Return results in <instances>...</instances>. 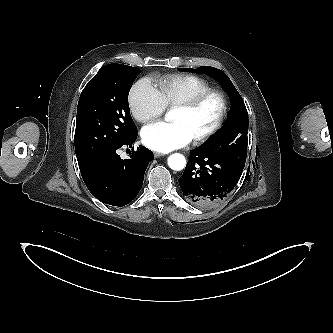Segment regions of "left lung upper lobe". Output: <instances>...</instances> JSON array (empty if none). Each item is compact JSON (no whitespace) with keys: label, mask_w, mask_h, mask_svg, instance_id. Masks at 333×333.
Instances as JSON below:
<instances>
[{"label":"left lung upper lobe","mask_w":333,"mask_h":333,"mask_svg":"<svg viewBox=\"0 0 333 333\" xmlns=\"http://www.w3.org/2000/svg\"><path fill=\"white\" fill-rule=\"evenodd\" d=\"M193 72L205 73L215 78L225 89L231 99V108L228 112V124L221 129L216 137L202 148L212 154L222 157L235 166L245 167L247 132H248V113L241 96L227 75L213 67L202 66L197 69L179 68Z\"/></svg>","instance_id":"obj_1"}]
</instances>
